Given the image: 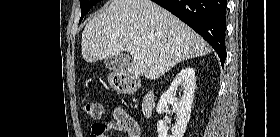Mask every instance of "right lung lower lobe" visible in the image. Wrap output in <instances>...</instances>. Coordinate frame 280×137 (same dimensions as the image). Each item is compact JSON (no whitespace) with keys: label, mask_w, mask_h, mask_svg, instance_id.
<instances>
[{"label":"right lung lower lobe","mask_w":280,"mask_h":137,"mask_svg":"<svg viewBox=\"0 0 280 137\" xmlns=\"http://www.w3.org/2000/svg\"><path fill=\"white\" fill-rule=\"evenodd\" d=\"M200 34L225 62L226 0H152Z\"/></svg>","instance_id":"obj_1"}]
</instances>
